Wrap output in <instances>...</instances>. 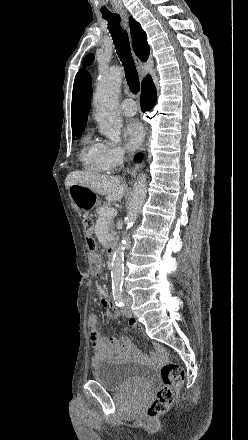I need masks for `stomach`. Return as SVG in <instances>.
<instances>
[{
    "label": "stomach",
    "mask_w": 248,
    "mask_h": 440,
    "mask_svg": "<svg viewBox=\"0 0 248 440\" xmlns=\"http://www.w3.org/2000/svg\"><path fill=\"white\" fill-rule=\"evenodd\" d=\"M68 194L74 207L79 211H87L99 202L95 192L81 185H71Z\"/></svg>",
    "instance_id": "stomach-1"
}]
</instances>
